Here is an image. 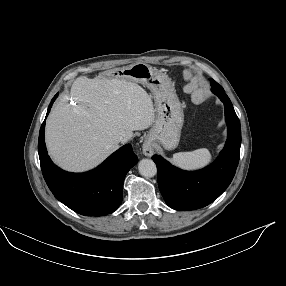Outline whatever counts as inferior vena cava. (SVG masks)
<instances>
[{
    "label": "inferior vena cava",
    "mask_w": 286,
    "mask_h": 286,
    "mask_svg": "<svg viewBox=\"0 0 286 286\" xmlns=\"http://www.w3.org/2000/svg\"><path fill=\"white\" fill-rule=\"evenodd\" d=\"M119 142L124 143V142H125L124 138H123V137H120V138L118 139V143H119Z\"/></svg>",
    "instance_id": "obj_1"
}]
</instances>
